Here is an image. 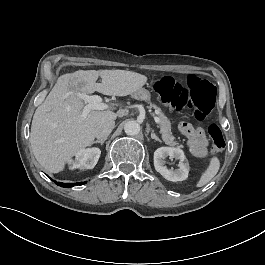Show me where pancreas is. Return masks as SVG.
Returning a JSON list of instances; mask_svg holds the SVG:
<instances>
[{
    "mask_svg": "<svg viewBox=\"0 0 265 265\" xmlns=\"http://www.w3.org/2000/svg\"><path fill=\"white\" fill-rule=\"evenodd\" d=\"M150 107L160 112V109L155 105H151ZM158 118L160 120L159 129L160 133L162 134L163 141L172 147H176L178 149L183 148L182 144L179 145L178 142L174 141L175 137L172 136L170 122L167 120L166 116L162 113H159Z\"/></svg>",
    "mask_w": 265,
    "mask_h": 265,
    "instance_id": "pancreas-1",
    "label": "pancreas"
}]
</instances>
